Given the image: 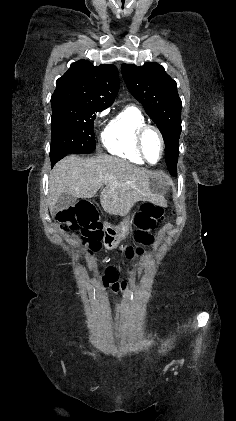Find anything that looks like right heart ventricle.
Instances as JSON below:
<instances>
[{
    "instance_id": "right-heart-ventricle-1",
    "label": "right heart ventricle",
    "mask_w": 236,
    "mask_h": 421,
    "mask_svg": "<svg viewBox=\"0 0 236 421\" xmlns=\"http://www.w3.org/2000/svg\"><path fill=\"white\" fill-rule=\"evenodd\" d=\"M145 124L146 119L138 107H125L104 127L101 135L103 147L114 156L135 164H144L136 146V133Z\"/></svg>"
}]
</instances>
